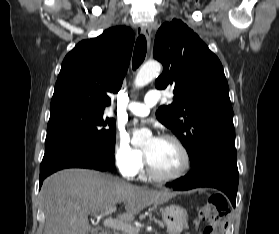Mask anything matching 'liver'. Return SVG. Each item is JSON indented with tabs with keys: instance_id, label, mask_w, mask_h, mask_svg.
<instances>
[{
	"instance_id": "1",
	"label": "liver",
	"mask_w": 279,
	"mask_h": 234,
	"mask_svg": "<svg viewBox=\"0 0 279 234\" xmlns=\"http://www.w3.org/2000/svg\"><path fill=\"white\" fill-rule=\"evenodd\" d=\"M174 196L134 186L119 178L88 169H65L48 177L40 192L45 214L43 234H88V216L125 203L122 221H132L144 208Z\"/></svg>"
}]
</instances>
